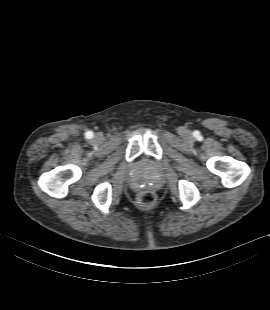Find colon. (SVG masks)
<instances>
[{
    "mask_svg": "<svg viewBox=\"0 0 270 310\" xmlns=\"http://www.w3.org/2000/svg\"><path fill=\"white\" fill-rule=\"evenodd\" d=\"M155 194L151 190H145L142 193L139 194L137 198V202L141 206H150L155 201Z\"/></svg>",
    "mask_w": 270,
    "mask_h": 310,
    "instance_id": "colon-1",
    "label": "colon"
}]
</instances>
